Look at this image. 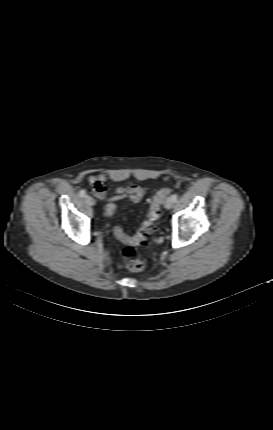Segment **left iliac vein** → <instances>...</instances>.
<instances>
[{
    "label": "left iliac vein",
    "instance_id": "left-iliac-vein-1",
    "mask_svg": "<svg viewBox=\"0 0 273 430\" xmlns=\"http://www.w3.org/2000/svg\"><path fill=\"white\" fill-rule=\"evenodd\" d=\"M174 201L171 197L167 198L166 202H165V208L166 209H171L173 207Z\"/></svg>",
    "mask_w": 273,
    "mask_h": 430
}]
</instances>
